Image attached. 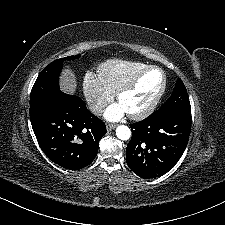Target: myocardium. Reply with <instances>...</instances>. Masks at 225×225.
I'll return each instance as SVG.
<instances>
[{
	"mask_svg": "<svg viewBox=\"0 0 225 225\" xmlns=\"http://www.w3.org/2000/svg\"><path fill=\"white\" fill-rule=\"evenodd\" d=\"M150 70L158 71L161 74V76H162V84H161L160 90L158 91L156 96L153 98L151 103L145 109H143L141 112L136 113V114H128L129 118H131L133 120H142V119L148 117L155 110V108L157 107V105L160 102L161 98L163 97V95H164V93L166 91V87H167V79H166V75H165L164 71L158 66H154V65L147 66L143 70H141L129 83L124 85L116 93V98H117V101L119 102L120 99L125 94H127V93H129V92H131V91H133L134 89L137 88V86H138L139 82L141 81V79Z\"/></svg>",
	"mask_w": 225,
	"mask_h": 225,
	"instance_id": "f54148a6",
	"label": "myocardium"
}]
</instances>
